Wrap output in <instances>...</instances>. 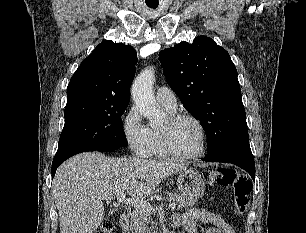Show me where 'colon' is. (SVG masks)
Masks as SVG:
<instances>
[{"label":"colon","mask_w":306,"mask_h":233,"mask_svg":"<svg viewBox=\"0 0 306 233\" xmlns=\"http://www.w3.org/2000/svg\"><path fill=\"white\" fill-rule=\"evenodd\" d=\"M206 179L217 186L232 188L234 191V213L243 215L249 206V195L252 189L250 179L241 171L230 167H219L205 174ZM111 219H104L94 233H113Z\"/></svg>","instance_id":"obj_1"}]
</instances>
